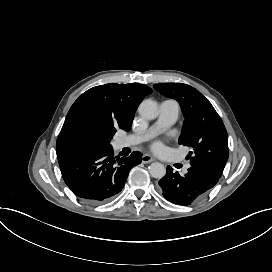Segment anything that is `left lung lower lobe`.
I'll return each mask as SVG.
<instances>
[{
  "mask_svg": "<svg viewBox=\"0 0 272 272\" xmlns=\"http://www.w3.org/2000/svg\"><path fill=\"white\" fill-rule=\"evenodd\" d=\"M213 172L191 165L185 176L168 166L166 175L159 181L163 196L173 204L188 206L203 197L219 180Z\"/></svg>",
  "mask_w": 272,
  "mask_h": 272,
  "instance_id": "left-lung-lower-lobe-1",
  "label": "left lung lower lobe"
}]
</instances>
